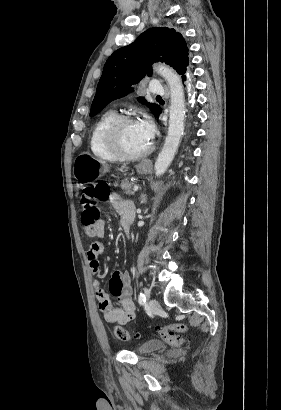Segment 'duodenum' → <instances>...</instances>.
<instances>
[{
  "label": "duodenum",
  "mask_w": 281,
  "mask_h": 410,
  "mask_svg": "<svg viewBox=\"0 0 281 410\" xmlns=\"http://www.w3.org/2000/svg\"><path fill=\"white\" fill-rule=\"evenodd\" d=\"M122 228H123V232H124L125 236L128 238V236H129V226L123 225Z\"/></svg>",
  "instance_id": "obj_1"
}]
</instances>
